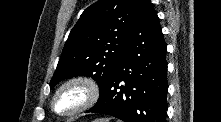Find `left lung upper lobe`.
<instances>
[{
  "mask_svg": "<svg viewBox=\"0 0 221 122\" xmlns=\"http://www.w3.org/2000/svg\"><path fill=\"white\" fill-rule=\"evenodd\" d=\"M141 0H99L89 6L71 30L56 71L52 89L74 76L92 77L105 91L124 49Z\"/></svg>",
  "mask_w": 221,
  "mask_h": 122,
  "instance_id": "obj_1",
  "label": "left lung upper lobe"
}]
</instances>
